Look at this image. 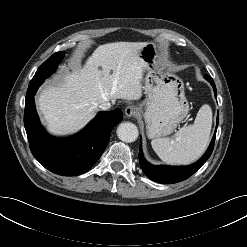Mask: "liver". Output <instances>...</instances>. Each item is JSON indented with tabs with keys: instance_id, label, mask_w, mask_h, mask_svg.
<instances>
[{
	"instance_id": "1",
	"label": "liver",
	"mask_w": 247,
	"mask_h": 247,
	"mask_svg": "<svg viewBox=\"0 0 247 247\" xmlns=\"http://www.w3.org/2000/svg\"><path fill=\"white\" fill-rule=\"evenodd\" d=\"M146 42H115L98 46L82 67L67 72L60 83L42 89L37 99L47 129L71 135L85 127L103 102L138 100L148 65L140 58Z\"/></svg>"
}]
</instances>
